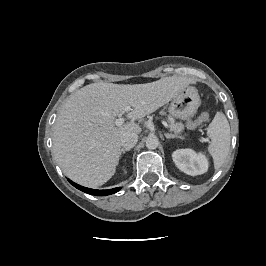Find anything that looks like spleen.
Segmentation results:
<instances>
[{
  "label": "spleen",
  "instance_id": "spleen-1",
  "mask_svg": "<svg viewBox=\"0 0 266 266\" xmlns=\"http://www.w3.org/2000/svg\"><path fill=\"white\" fill-rule=\"evenodd\" d=\"M207 135L211 138L207 149L213 157L215 168L218 169L226 160L230 149V126L222 112L216 113L207 128Z\"/></svg>",
  "mask_w": 266,
  "mask_h": 266
}]
</instances>
